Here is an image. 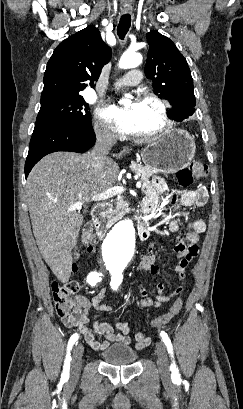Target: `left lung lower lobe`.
<instances>
[{
  "mask_svg": "<svg viewBox=\"0 0 243 409\" xmlns=\"http://www.w3.org/2000/svg\"><path fill=\"white\" fill-rule=\"evenodd\" d=\"M193 113L188 114V115H182V116H177L174 118V120L181 122L183 119L188 118L189 116H191Z\"/></svg>",
  "mask_w": 243,
  "mask_h": 409,
  "instance_id": "left-lung-lower-lobe-1",
  "label": "left lung lower lobe"
}]
</instances>
